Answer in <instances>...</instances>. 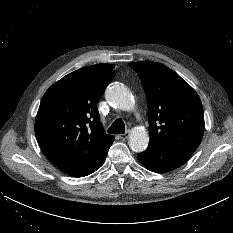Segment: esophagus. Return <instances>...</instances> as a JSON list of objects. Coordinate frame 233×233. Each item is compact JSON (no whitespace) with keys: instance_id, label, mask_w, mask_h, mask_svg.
I'll return each mask as SVG.
<instances>
[{"instance_id":"34e87169","label":"esophagus","mask_w":233,"mask_h":233,"mask_svg":"<svg viewBox=\"0 0 233 233\" xmlns=\"http://www.w3.org/2000/svg\"><path fill=\"white\" fill-rule=\"evenodd\" d=\"M119 137L120 139L125 140L129 137V132L127 131L124 134H120Z\"/></svg>"}]
</instances>
